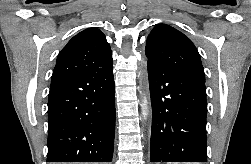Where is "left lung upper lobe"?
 Masks as SVG:
<instances>
[{
  "label": "left lung upper lobe",
  "mask_w": 251,
  "mask_h": 164,
  "mask_svg": "<svg viewBox=\"0 0 251 164\" xmlns=\"http://www.w3.org/2000/svg\"><path fill=\"white\" fill-rule=\"evenodd\" d=\"M148 63L174 69L205 82L200 55L183 33L167 24L156 25L145 48Z\"/></svg>",
  "instance_id": "1"
}]
</instances>
